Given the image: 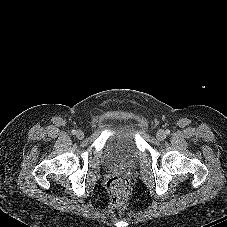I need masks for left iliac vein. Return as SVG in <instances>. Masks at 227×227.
Returning <instances> with one entry per match:
<instances>
[{
	"instance_id": "left-iliac-vein-1",
	"label": "left iliac vein",
	"mask_w": 227,
	"mask_h": 227,
	"mask_svg": "<svg viewBox=\"0 0 227 227\" xmlns=\"http://www.w3.org/2000/svg\"><path fill=\"white\" fill-rule=\"evenodd\" d=\"M158 140H163L166 137V132L163 130H159L156 134Z\"/></svg>"
}]
</instances>
